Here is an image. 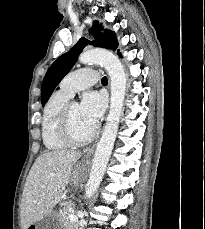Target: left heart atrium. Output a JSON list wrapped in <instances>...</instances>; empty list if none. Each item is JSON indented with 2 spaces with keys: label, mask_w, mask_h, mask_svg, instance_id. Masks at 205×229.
<instances>
[{
  "label": "left heart atrium",
  "mask_w": 205,
  "mask_h": 229,
  "mask_svg": "<svg viewBox=\"0 0 205 229\" xmlns=\"http://www.w3.org/2000/svg\"><path fill=\"white\" fill-rule=\"evenodd\" d=\"M79 106L85 120L95 126L104 113L106 98L99 92L90 91L84 94Z\"/></svg>",
  "instance_id": "obj_1"
}]
</instances>
